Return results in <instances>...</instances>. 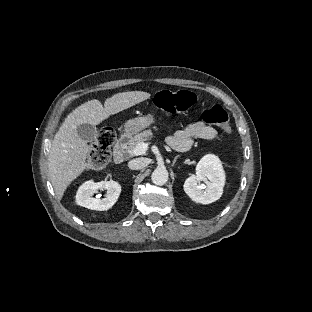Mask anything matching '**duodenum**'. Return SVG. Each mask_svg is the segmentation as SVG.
Returning <instances> with one entry per match:
<instances>
[{
    "mask_svg": "<svg viewBox=\"0 0 312 312\" xmlns=\"http://www.w3.org/2000/svg\"><path fill=\"white\" fill-rule=\"evenodd\" d=\"M130 140V135L124 133L120 135L113 148V160L116 164H122L126 158V146Z\"/></svg>",
    "mask_w": 312,
    "mask_h": 312,
    "instance_id": "1",
    "label": "duodenum"
}]
</instances>
